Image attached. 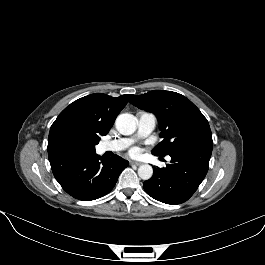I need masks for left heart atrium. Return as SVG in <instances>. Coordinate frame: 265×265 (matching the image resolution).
<instances>
[{
  "mask_svg": "<svg viewBox=\"0 0 265 265\" xmlns=\"http://www.w3.org/2000/svg\"><path fill=\"white\" fill-rule=\"evenodd\" d=\"M141 151L139 148L134 147L129 151V154L133 157H138L140 155Z\"/></svg>",
  "mask_w": 265,
  "mask_h": 265,
  "instance_id": "1",
  "label": "left heart atrium"
}]
</instances>
